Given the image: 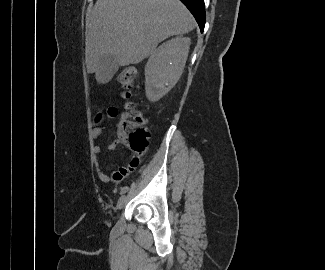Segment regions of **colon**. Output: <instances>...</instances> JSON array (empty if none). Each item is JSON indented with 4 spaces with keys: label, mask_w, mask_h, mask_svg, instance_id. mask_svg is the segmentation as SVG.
Segmentation results:
<instances>
[{
    "label": "colon",
    "mask_w": 325,
    "mask_h": 270,
    "mask_svg": "<svg viewBox=\"0 0 325 270\" xmlns=\"http://www.w3.org/2000/svg\"><path fill=\"white\" fill-rule=\"evenodd\" d=\"M136 79L137 69L135 67H127L117 76L118 83L127 90L133 87ZM123 96L129 98L130 93L126 92ZM127 108L129 111L124 113L119 124V139L130 148L131 157L127 168L134 170L146 151L149 133L143 126L141 115L134 110V106L128 103Z\"/></svg>",
    "instance_id": "obj_1"
}]
</instances>
